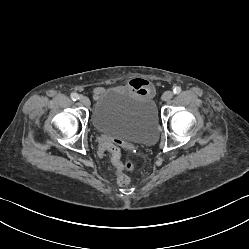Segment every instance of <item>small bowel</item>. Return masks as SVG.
I'll use <instances>...</instances> for the list:
<instances>
[{
  "label": "small bowel",
  "instance_id": "small-bowel-1",
  "mask_svg": "<svg viewBox=\"0 0 249 249\" xmlns=\"http://www.w3.org/2000/svg\"><path fill=\"white\" fill-rule=\"evenodd\" d=\"M125 86L143 97H152L154 94L153 84L145 79H131L125 83ZM102 92V88H97L95 90L96 95H100Z\"/></svg>",
  "mask_w": 249,
  "mask_h": 249
}]
</instances>
